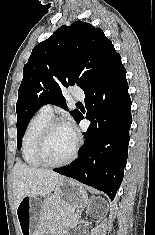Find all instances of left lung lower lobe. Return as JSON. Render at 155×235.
Returning a JSON list of instances; mask_svg holds the SVG:
<instances>
[{"label": "left lung lower lobe", "instance_id": "left-lung-lower-lobe-1", "mask_svg": "<svg viewBox=\"0 0 155 235\" xmlns=\"http://www.w3.org/2000/svg\"><path fill=\"white\" fill-rule=\"evenodd\" d=\"M86 118L91 121L84 132L79 157L70 165L54 169L67 177L105 192L115 198L127 162L131 100L126 70L118 57L102 78L85 92ZM83 119L80 114L79 123Z\"/></svg>", "mask_w": 155, "mask_h": 235}]
</instances>
